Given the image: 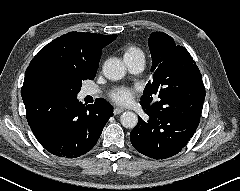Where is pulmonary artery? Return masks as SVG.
I'll return each instance as SVG.
<instances>
[{
    "label": "pulmonary artery",
    "mask_w": 240,
    "mask_h": 191,
    "mask_svg": "<svg viewBox=\"0 0 240 191\" xmlns=\"http://www.w3.org/2000/svg\"><path fill=\"white\" fill-rule=\"evenodd\" d=\"M124 62L131 72L139 73L144 68L145 58H144V56L129 57V58H124ZM96 92L97 91L94 90V89H88L86 91V94L87 95H94V94H96Z\"/></svg>",
    "instance_id": "pulmonary-artery-1"
}]
</instances>
